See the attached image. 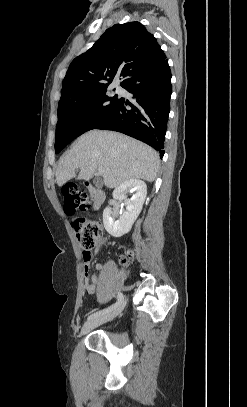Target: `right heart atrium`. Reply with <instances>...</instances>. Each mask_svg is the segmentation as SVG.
Wrapping results in <instances>:
<instances>
[{"instance_id": "d8ad5b80", "label": "right heart atrium", "mask_w": 247, "mask_h": 407, "mask_svg": "<svg viewBox=\"0 0 247 407\" xmlns=\"http://www.w3.org/2000/svg\"><path fill=\"white\" fill-rule=\"evenodd\" d=\"M95 116H96V113H95V110H94L93 108H87V109L84 111L83 117H84V119L87 120V121L93 120V119L95 118Z\"/></svg>"}]
</instances>
